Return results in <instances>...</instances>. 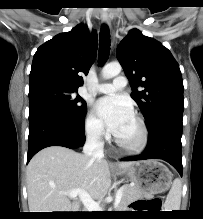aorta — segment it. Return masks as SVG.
Instances as JSON below:
<instances>
[{
    "mask_svg": "<svg viewBox=\"0 0 203 219\" xmlns=\"http://www.w3.org/2000/svg\"><path fill=\"white\" fill-rule=\"evenodd\" d=\"M122 67L119 63L114 62L107 64L102 69V76L104 79H111L120 74Z\"/></svg>",
    "mask_w": 203,
    "mask_h": 219,
    "instance_id": "aorta-1",
    "label": "aorta"
}]
</instances>
